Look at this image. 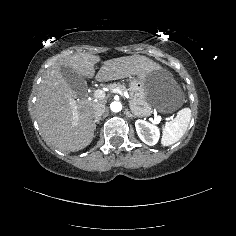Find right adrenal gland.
Instances as JSON below:
<instances>
[{
    "mask_svg": "<svg viewBox=\"0 0 236 236\" xmlns=\"http://www.w3.org/2000/svg\"><path fill=\"white\" fill-rule=\"evenodd\" d=\"M101 119H102V118H101V117H99L97 121H96V120H95V121H93V123H94V125H95V129H96V123H97V124H99Z\"/></svg>",
    "mask_w": 236,
    "mask_h": 236,
    "instance_id": "right-adrenal-gland-1",
    "label": "right adrenal gland"
}]
</instances>
